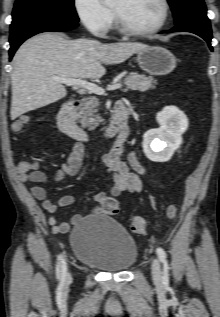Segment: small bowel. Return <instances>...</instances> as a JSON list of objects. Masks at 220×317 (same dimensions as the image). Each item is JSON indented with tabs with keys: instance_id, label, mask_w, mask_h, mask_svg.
I'll list each match as a JSON object with an SVG mask.
<instances>
[{
	"instance_id": "1",
	"label": "small bowel",
	"mask_w": 220,
	"mask_h": 317,
	"mask_svg": "<svg viewBox=\"0 0 220 317\" xmlns=\"http://www.w3.org/2000/svg\"><path fill=\"white\" fill-rule=\"evenodd\" d=\"M123 145H114L101 157L105 171L113 178L114 187L111 194L97 193L93 196L97 203L92 209L94 215L104 213L103 205L106 199L117 197L123 192L132 194L140 193L143 189L141 177L146 173L145 167L140 162L136 151L128 155L127 161L122 159ZM84 158V144L81 141L74 143L73 149L67 160L56 170L52 176L54 182L62 181L66 176H76L82 168ZM18 176L21 182L45 183L48 177L39 169L37 162L21 161L17 166ZM31 193L41 203L42 208L50 214L48 223L55 233H66L71 224L78 223L82 216L76 214L71 222L58 223L54 213L61 207L70 206L75 202L73 195H64L57 202L47 198L45 189L40 185L31 187Z\"/></svg>"
}]
</instances>
